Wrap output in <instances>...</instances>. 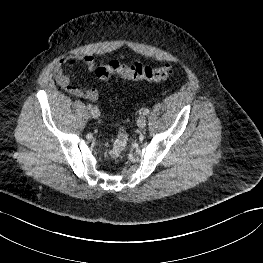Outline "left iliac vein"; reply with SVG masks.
Masks as SVG:
<instances>
[{
    "label": "left iliac vein",
    "mask_w": 263,
    "mask_h": 263,
    "mask_svg": "<svg viewBox=\"0 0 263 263\" xmlns=\"http://www.w3.org/2000/svg\"><path fill=\"white\" fill-rule=\"evenodd\" d=\"M147 123V117L145 115H141L137 120V125L139 128H144Z\"/></svg>",
    "instance_id": "left-iliac-vein-1"
}]
</instances>
